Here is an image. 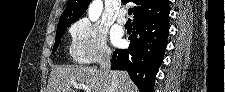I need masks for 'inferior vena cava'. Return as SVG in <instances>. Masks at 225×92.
<instances>
[{"label": "inferior vena cava", "instance_id": "obj_1", "mask_svg": "<svg viewBox=\"0 0 225 92\" xmlns=\"http://www.w3.org/2000/svg\"><path fill=\"white\" fill-rule=\"evenodd\" d=\"M111 51L110 50H104L103 51V57L100 63V69L103 70L105 73H108L111 80V86H112V92H115L117 87V76L116 73L111 71Z\"/></svg>", "mask_w": 225, "mask_h": 92}]
</instances>
